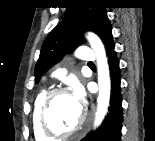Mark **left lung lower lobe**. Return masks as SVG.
Here are the masks:
<instances>
[{
    "label": "left lung lower lobe",
    "mask_w": 155,
    "mask_h": 141,
    "mask_svg": "<svg viewBox=\"0 0 155 141\" xmlns=\"http://www.w3.org/2000/svg\"><path fill=\"white\" fill-rule=\"evenodd\" d=\"M106 54L111 76V99L109 113L102 125L95 131L88 134L81 141H120L122 129V98H121V73L119 60L115 51L113 36L110 35L105 42Z\"/></svg>",
    "instance_id": "1"
}]
</instances>
